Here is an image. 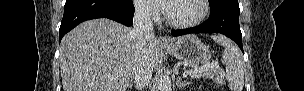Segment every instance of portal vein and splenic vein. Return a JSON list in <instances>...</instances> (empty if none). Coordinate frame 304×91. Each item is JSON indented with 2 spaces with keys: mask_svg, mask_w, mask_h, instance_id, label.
<instances>
[{
  "mask_svg": "<svg viewBox=\"0 0 304 91\" xmlns=\"http://www.w3.org/2000/svg\"><path fill=\"white\" fill-rule=\"evenodd\" d=\"M218 68H219V64L218 63L207 64V65H205L202 68L184 71L183 77H187L188 75H193V74L201 73V72H203L206 69H218Z\"/></svg>",
  "mask_w": 304,
  "mask_h": 91,
  "instance_id": "1",
  "label": "portal vein and splenic vein"
}]
</instances>
